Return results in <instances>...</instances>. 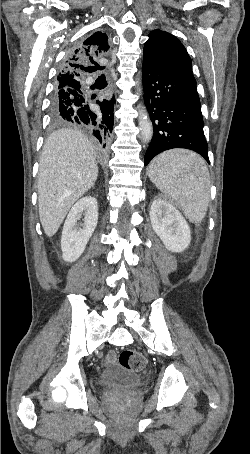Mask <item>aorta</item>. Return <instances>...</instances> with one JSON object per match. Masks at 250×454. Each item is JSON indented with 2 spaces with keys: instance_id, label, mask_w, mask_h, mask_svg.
Here are the masks:
<instances>
[{
  "instance_id": "1",
  "label": "aorta",
  "mask_w": 250,
  "mask_h": 454,
  "mask_svg": "<svg viewBox=\"0 0 250 454\" xmlns=\"http://www.w3.org/2000/svg\"><path fill=\"white\" fill-rule=\"evenodd\" d=\"M140 90V87L137 88ZM138 122H139V128L141 132V139L144 143L150 142L153 136V125L152 122L149 119L148 113L145 109V107L140 106L139 108V117H138Z\"/></svg>"
}]
</instances>
